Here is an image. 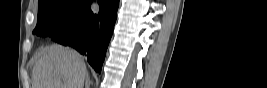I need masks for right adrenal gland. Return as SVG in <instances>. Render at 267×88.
Wrapping results in <instances>:
<instances>
[{"mask_svg":"<svg viewBox=\"0 0 267 88\" xmlns=\"http://www.w3.org/2000/svg\"><path fill=\"white\" fill-rule=\"evenodd\" d=\"M91 83H92V81L90 80L89 73L87 72L85 75V88H89Z\"/></svg>","mask_w":267,"mask_h":88,"instance_id":"1","label":"right adrenal gland"}]
</instances>
